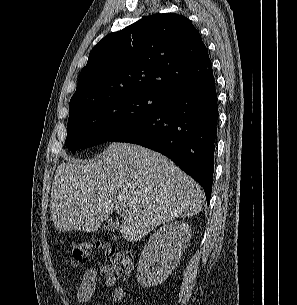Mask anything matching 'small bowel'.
<instances>
[{
    "instance_id": "1",
    "label": "small bowel",
    "mask_w": 297,
    "mask_h": 305,
    "mask_svg": "<svg viewBox=\"0 0 297 305\" xmlns=\"http://www.w3.org/2000/svg\"><path fill=\"white\" fill-rule=\"evenodd\" d=\"M104 279V287L111 288L110 300L112 303H119L125 298V290L122 287L115 286V278L108 268H102L100 271ZM97 272L94 269H87L77 288V299L80 304H87L96 293Z\"/></svg>"
}]
</instances>
